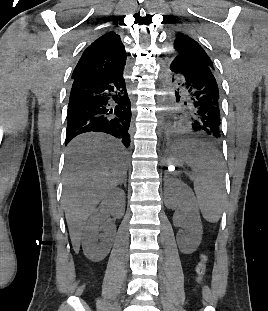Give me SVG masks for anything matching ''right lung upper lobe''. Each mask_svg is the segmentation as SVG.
<instances>
[{"mask_svg": "<svg viewBox=\"0 0 268 311\" xmlns=\"http://www.w3.org/2000/svg\"><path fill=\"white\" fill-rule=\"evenodd\" d=\"M125 64L126 51L120 36L108 32L86 48L73 71L72 79L114 74L124 70Z\"/></svg>", "mask_w": 268, "mask_h": 311, "instance_id": "right-lung-upper-lobe-1", "label": "right lung upper lobe"}]
</instances>
